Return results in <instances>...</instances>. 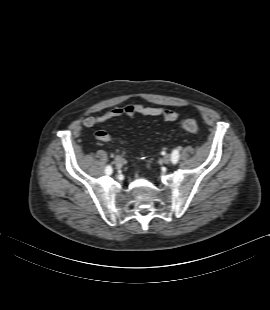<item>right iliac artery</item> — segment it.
I'll list each match as a JSON object with an SVG mask.
<instances>
[{"mask_svg":"<svg viewBox=\"0 0 270 310\" xmlns=\"http://www.w3.org/2000/svg\"><path fill=\"white\" fill-rule=\"evenodd\" d=\"M105 171H106V173L107 174H112V167L110 166V165H108L107 167H106V169H105Z\"/></svg>","mask_w":270,"mask_h":310,"instance_id":"right-iliac-artery-1","label":"right iliac artery"}]
</instances>
